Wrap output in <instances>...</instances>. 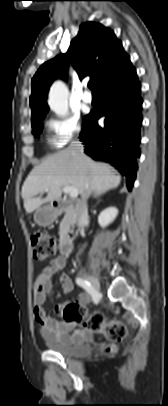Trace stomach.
<instances>
[{
    "label": "stomach",
    "mask_w": 168,
    "mask_h": 406,
    "mask_svg": "<svg viewBox=\"0 0 168 406\" xmlns=\"http://www.w3.org/2000/svg\"><path fill=\"white\" fill-rule=\"evenodd\" d=\"M58 212L51 206L39 208L34 214L35 222L40 226L50 225L57 217Z\"/></svg>",
    "instance_id": "0dacf381"
}]
</instances>
